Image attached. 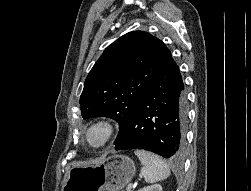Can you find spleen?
Here are the masks:
<instances>
[{"label": "spleen", "instance_id": "1", "mask_svg": "<svg viewBox=\"0 0 251 191\" xmlns=\"http://www.w3.org/2000/svg\"><path fill=\"white\" fill-rule=\"evenodd\" d=\"M134 153L139 157L143 165L141 167V175H143L145 181H148V183L166 179L170 175L168 163L164 159H161L159 155H155L151 151H145V149H136Z\"/></svg>", "mask_w": 251, "mask_h": 191}]
</instances>
